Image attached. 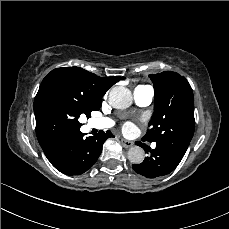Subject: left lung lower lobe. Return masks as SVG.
I'll list each match as a JSON object with an SVG mask.
<instances>
[{
    "label": "left lung lower lobe",
    "instance_id": "obj_1",
    "mask_svg": "<svg viewBox=\"0 0 229 229\" xmlns=\"http://www.w3.org/2000/svg\"><path fill=\"white\" fill-rule=\"evenodd\" d=\"M136 144L151 153L141 164L132 165L136 173L147 178L161 177L171 173L183 158L176 155L166 145L156 143V148L151 150L144 143L136 142Z\"/></svg>",
    "mask_w": 229,
    "mask_h": 229
}]
</instances>
